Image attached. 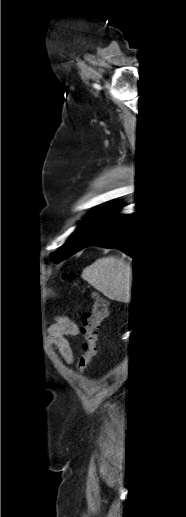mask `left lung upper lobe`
<instances>
[{
	"label": "left lung upper lobe",
	"instance_id": "1",
	"mask_svg": "<svg viewBox=\"0 0 186 517\" xmlns=\"http://www.w3.org/2000/svg\"><path fill=\"white\" fill-rule=\"evenodd\" d=\"M113 204L104 205L93 211L84 222H81L77 230L70 236L67 242L55 253L51 254V260L59 262L78 252L90 239L95 224L106 214Z\"/></svg>",
	"mask_w": 186,
	"mask_h": 517
}]
</instances>
